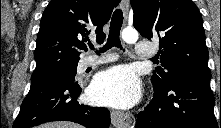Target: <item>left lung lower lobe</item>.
Here are the masks:
<instances>
[{
    "label": "left lung lower lobe",
    "mask_w": 221,
    "mask_h": 128,
    "mask_svg": "<svg viewBox=\"0 0 221 128\" xmlns=\"http://www.w3.org/2000/svg\"><path fill=\"white\" fill-rule=\"evenodd\" d=\"M214 104L210 79L183 76L164 89L154 88L136 128H221Z\"/></svg>",
    "instance_id": "left-lung-lower-lobe-1"
}]
</instances>
